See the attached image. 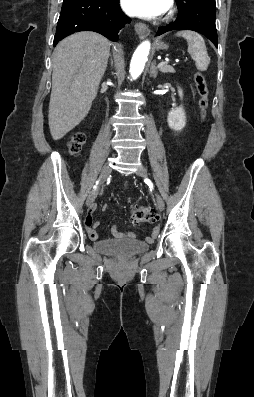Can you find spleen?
<instances>
[{
    "mask_svg": "<svg viewBox=\"0 0 254 397\" xmlns=\"http://www.w3.org/2000/svg\"><path fill=\"white\" fill-rule=\"evenodd\" d=\"M177 36L183 37L188 43V53L195 61L198 70L206 71L210 64L204 39L194 31L184 30L176 33Z\"/></svg>",
    "mask_w": 254,
    "mask_h": 397,
    "instance_id": "obj_1",
    "label": "spleen"
}]
</instances>
